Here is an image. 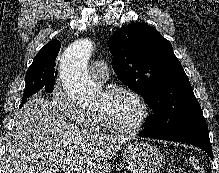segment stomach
<instances>
[{
	"label": "stomach",
	"mask_w": 219,
	"mask_h": 173,
	"mask_svg": "<svg viewBox=\"0 0 219 173\" xmlns=\"http://www.w3.org/2000/svg\"><path fill=\"white\" fill-rule=\"evenodd\" d=\"M123 161L131 173H156L162 167L164 156L148 142L136 141L123 151Z\"/></svg>",
	"instance_id": "1"
}]
</instances>
